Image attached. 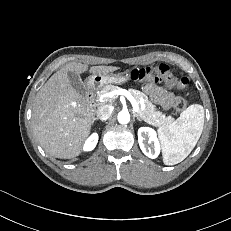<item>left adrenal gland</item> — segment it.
I'll return each mask as SVG.
<instances>
[{
    "mask_svg": "<svg viewBox=\"0 0 231 231\" xmlns=\"http://www.w3.org/2000/svg\"><path fill=\"white\" fill-rule=\"evenodd\" d=\"M133 116L136 117L139 121H141V118L134 112Z\"/></svg>",
    "mask_w": 231,
    "mask_h": 231,
    "instance_id": "obj_1",
    "label": "left adrenal gland"
}]
</instances>
